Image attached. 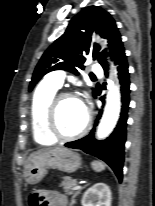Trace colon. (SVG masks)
Here are the masks:
<instances>
[{
	"mask_svg": "<svg viewBox=\"0 0 155 206\" xmlns=\"http://www.w3.org/2000/svg\"><path fill=\"white\" fill-rule=\"evenodd\" d=\"M40 201H41V195L38 192L31 194L29 197L30 206H38Z\"/></svg>",
	"mask_w": 155,
	"mask_h": 206,
	"instance_id": "obj_1",
	"label": "colon"
}]
</instances>
